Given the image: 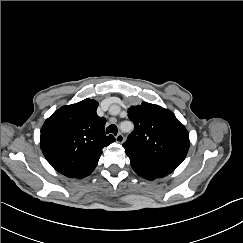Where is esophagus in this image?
Instances as JSON below:
<instances>
[{"label":"esophagus","instance_id":"1","mask_svg":"<svg viewBox=\"0 0 243 243\" xmlns=\"http://www.w3.org/2000/svg\"><path fill=\"white\" fill-rule=\"evenodd\" d=\"M115 139H116V142H118L120 144H122L124 142V140H125L123 134H121V133L117 134V136L115 137Z\"/></svg>","mask_w":243,"mask_h":243}]
</instances>
